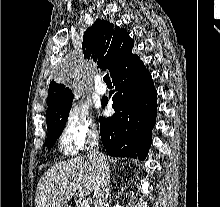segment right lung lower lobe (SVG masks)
I'll return each instance as SVG.
<instances>
[{
  "label": "right lung lower lobe",
  "mask_w": 220,
  "mask_h": 207,
  "mask_svg": "<svg viewBox=\"0 0 220 207\" xmlns=\"http://www.w3.org/2000/svg\"><path fill=\"white\" fill-rule=\"evenodd\" d=\"M111 77L115 86V114L100 118L103 146L111 156L144 160L157 114V91L151 74L138 55L132 53L115 67ZM107 102L105 98L102 106Z\"/></svg>",
  "instance_id": "1"
}]
</instances>
